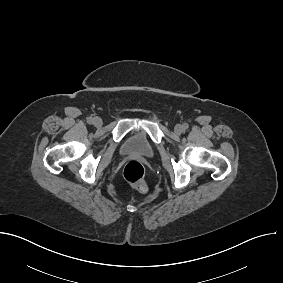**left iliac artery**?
Wrapping results in <instances>:
<instances>
[{"label": "left iliac artery", "instance_id": "left-iliac-artery-1", "mask_svg": "<svg viewBox=\"0 0 283 283\" xmlns=\"http://www.w3.org/2000/svg\"><path fill=\"white\" fill-rule=\"evenodd\" d=\"M187 128H188V124H187V123H184V124H183V129L186 130Z\"/></svg>", "mask_w": 283, "mask_h": 283}]
</instances>
